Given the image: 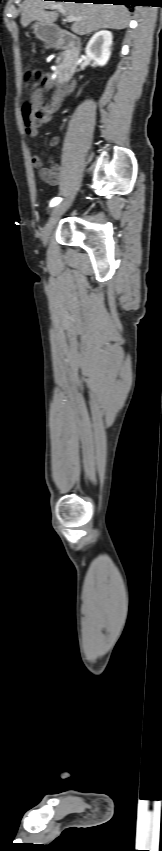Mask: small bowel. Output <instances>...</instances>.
Returning <instances> with one entry per match:
<instances>
[{"mask_svg":"<svg viewBox=\"0 0 162 851\" xmlns=\"http://www.w3.org/2000/svg\"><path fill=\"white\" fill-rule=\"evenodd\" d=\"M77 87L78 82L73 77L62 83L61 78L56 74L47 75L43 85L33 92L30 103L26 104L22 109L26 133L31 137L37 136L39 127L50 121L51 115L59 109L62 100L67 99L68 94L73 93ZM48 88L50 90L56 89V92L49 101H45L44 92ZM58 143V136H54L50 140L51 147H55ZM31 163L38 170V174L44 182L51 185L59 183L61 179V167L52 159L50 160L49 168L43 166L39 155H33L31 157Z\"/></svg>","mask_w":162,"mask_h":851,"instance_id":"small-bowel-1","label":"small bowel"}]
</instances>
